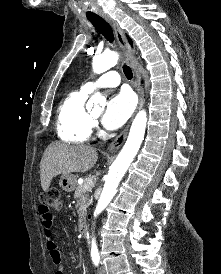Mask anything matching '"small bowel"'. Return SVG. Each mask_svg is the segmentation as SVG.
Here are the masks:
<instances>
[{
    "label": "small bowel",
    "mask_w": 221,
    "mask_h": 274,
    "mask_svg": "<svg viewBox=\"0 0 221 274\" xmlns=\"http://www.w3.org/2000/svg\"><path fill=\"white\" fill-rule=\"evenodd\" d=\"M38 213L41 221V228L45 238V245L49 252L52 262L57 266L54 274H65L62 266V253L58 248L53 237V223L55 216L50 208L44 204L38 206Z\"/></svg>",
    "instance_id": "1"
}]
</instances>
